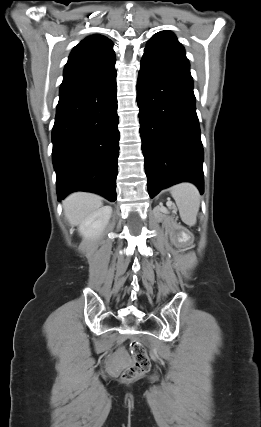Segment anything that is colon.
<instances>
[{
    "label": "colon",
    "mask_w": 261,
    "mask_h": 427,
    "mask_svg": "<svg viewBox=\"0 0 261 427\" xmlns=\"http://www.w3.org/2000/svg\"><path fill=\"white\" fill-rule=\"evenodd\" d=\"M133 363L122 374L124 380H133L146 374L151 366L149 356L142 343L134 341L130 345Z\"/></svg>",
    "instance_id": "5ec220e1"
}]
</instances>
